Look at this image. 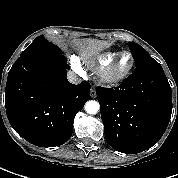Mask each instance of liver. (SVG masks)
<instances>
[{
    "label": "liver",
    "mask_w": 178,
    "mask_h": 178,
    "mask_svg": "<svg viewBox=\"0 0 178 178\" xmlns=\"http://www.w3.org/2000/svg\"><path fill=\"white\" fill-rule=\"evenodd\" d=\"M75 45L84 56H92L99 50L103 49L107 44L104 41L94 39H80L75 41Z\"/></svg>",
    "instance_id": "6515ba94"
}]
</instances>
